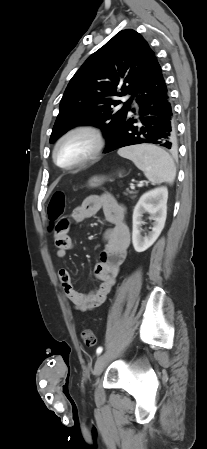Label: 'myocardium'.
<instances>
[{
	"label": "myocardium",
	"mask_w": 207,
	"mask_h": 449,
	"mask_svg": "<svg viewBox=\"0 0 207 449\" xmlns=\"http://www.w3.org/2000/svg\"><path fill=\"white\" fill-rule=\"evenodd\" d=\"M80 134L90 137L92 141V148L90 152L83 158L79 159L78 161H75L68 165H61L57 160V151L60 145L67 139ZM104 146H105V137L99 128L88 124L76 125L68 129L66 132H64L56 141L52 152L53 161L61 169L64 170L74 169L96 159L103 151Z\"/></svg>",
	"instance_id": "obj_1"
}]
</instances>
